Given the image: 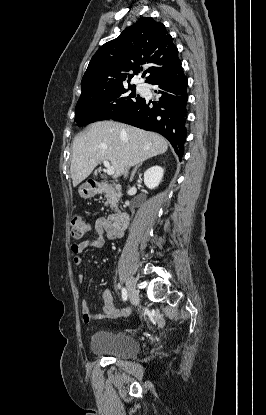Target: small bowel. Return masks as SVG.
I'll list each match as a JSON object with an SVG mask.
<instances>
[{"label":"small bowel","mask_w":266,"mask_h":415,"mask_svg":"<svg viewBox=\"0 0 266 415\" xmlns=\"http://www.w3.org/2000/svg\"><path fill=\"white\" fill-rule=\"evenodd\" d=\"M95 230L98 234V237L91 240H85L83 242L73 244L71 247L74 263L80 265L82 263V253L85 249L92 248H101L105 243L104 235L110 239L118 238L122 236V231H117L107 225L105 219H98L95 223ZM79 281H85V276L83 274L79 275ZM103 313L102 314H92L90 312L89 304L86 300L81 301V313L82 318L85 323H91L93 321L102 320V319H116L120 316L128 314V309L119 310L114 304V299L109 290L104 291L103 293Z\"/></svg>","instance_id":"1"}]
</instances>
